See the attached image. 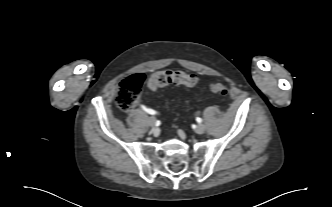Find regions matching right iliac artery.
Returning <instances> with one entry per match:
<instances>
[{
	"mask_svg": "<svg viewBox=\"0 0 332 207\" xmlns=\"http://www.w3.org/2000/svg\"><path fill=\"white\" fill-rule=\"evenodd\" d=\"M141 108H142L145 112H147V113H149V114H151V115L156 114V111H154V110H152V109H150V108H147V107H145L144 105H141Z\"/></svg>",
	"mask_w": 332,
	"mask_h": 207,
	"instance_id": "right-iliac-artery-1",
	"label": "right iliac artery"
}]
</instances>
